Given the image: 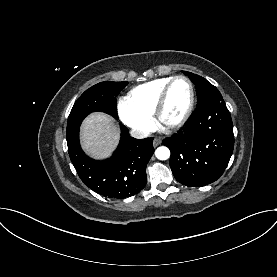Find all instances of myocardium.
Here are the masks:
<instances>
[{"label":"myocardium","mask_w":277,"mask_h":277,"mask_svg":"<svg viewBox=\"0 0 277 277\" xmlns=\"http://www.w3.org/2000/svg\"><path fill=\"white\" fill-rule=\"evenodd\" d=\"M178 80L185 81L189 86V89H190L189 103H188V106H187L185 112L178 120H176L175 122H172V123H165L162 119L163 111H164V108L167 103L170 89L173 86V84L175 82H177ZM194 105H195V88H194L192 81L188 77L183 76V75L175 76L166 84V86L163 88V90L157 100V103H156L154 111H153L154 120L156 121V123L158 125H160L161 127L165 128L167 130H176V129L182 127L187 122V120L189 119V117L191 116V114L193 112Z\"/></svg>","instance_id":"myocardium-1"}]
</instances>
